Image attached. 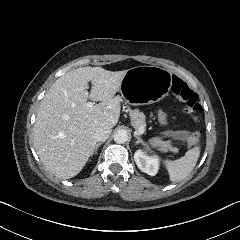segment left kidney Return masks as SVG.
<instances>
[{
  "mask_svg": "<svg viewBox=\"0 0 240 240\" xmlns=\"http://www.w3.org/2000/svg\"><path fill=\"white\" fill-rule=\"evenodd\" d=\"M134 160L137 167L150 176H156L160 171L162 157L148 154L144 149H137L135 151Z\"/></svg>",
  "mask_w": 240,
  "mask_h": 240,
  "instance_id": "1",
  "label": "left kidney"
}]
</instances>
